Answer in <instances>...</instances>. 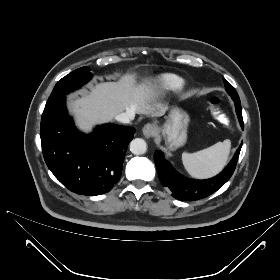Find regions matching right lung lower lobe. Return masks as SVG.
<instances>
[{
  "label": "right lung lower lobe",
  "instance_id": "obj_1",
  "mask_svg": "<svg viewBox=\"0 0 280 280\" xmlns=\"http://www.w3.org/2000/svg\"><path fill=\"white\" fill-rule=\"evenodd\" d=\"M135 128L99 126L89 135L77 131L69 118L65 97L46 104L41 118L45 162L70 191L87 196L105 194L120 179L128 144Z\"/></svg>",
  "mask_w": 280,
  "mask_h": 280
}]
</instances>
